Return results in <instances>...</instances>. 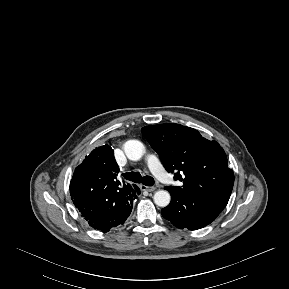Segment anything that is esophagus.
I'll list each match as a JSON object with an SVG mask.
<instances>
[{
	"label": "esophagus",
	"mask_w": 289,
	"mask_h": 289,
	"mask_svg": "<svg viewBox=\"0 0 289 289\" xmlns=\"http://www.w3.org/2000/svg\"><path fill=\"white\" fill-rule=\"evenodd\" d=\"M142 190L144 191H148V192H153L156 188L153 186H145V185H141L140 186Z\"/></svg>",
	"instance_id": "1"
}]
</instances>
